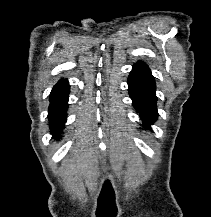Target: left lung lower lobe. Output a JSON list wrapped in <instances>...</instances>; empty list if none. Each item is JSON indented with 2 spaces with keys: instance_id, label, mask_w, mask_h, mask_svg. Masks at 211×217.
Masks as SVG:
<instances>
[{
  "instance_id": "left-lung-lower-lobe-1",
  "label": "left lung lower lobe",
  "mask_w": 211,
  "mask_h": 217,
  "mask_svg": "<svg viewBox=\"0 0 211 217\" xmlns=\"http://www.w3.org/2000/svg\"><path fill=\"white\" fill-rule=\"evenodd\" d=\"M129 95L145 129L158 117L156 107V85L149 69L134 64L128 78Z\"/></svg>"
}]
</instances>
